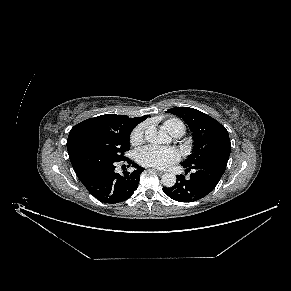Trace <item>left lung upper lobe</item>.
Returning <instances> with one entry per match:
<instances>
[{
    "instance_id": "5c2ea615",
    "label": "left lung upper lobe",
    "mask_w": 291,
    "mask_h": 291,
    "mask_svg": "<svg viewBox=\"0 0 291 291\" xmlns=\"http://www.w3.org/2000/svg\"><path fill=\"white\" fill-rule=\"evenodd\" d=\"M167 112L182 118L193 133L192 153L182 165L207 160L228 161L231 143L226 128L209 115L189 107H175Z\"/></svg>"
}]
</instances>
